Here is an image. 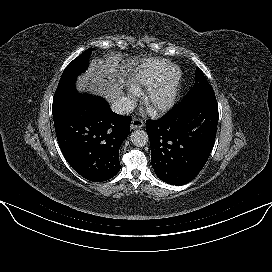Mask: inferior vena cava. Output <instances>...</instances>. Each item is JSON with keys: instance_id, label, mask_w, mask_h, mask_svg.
Masks as SVG:
<instances>
[{"instance_id": "obj_1", "label": "inferior vena cava", "mask_w": 272, "mask_h": 272, "mask_svg": "<svg viewBox=\"0 0 272 272\" xmlns=\"http://www.w3.org/2000/svg\"><path fill=\"white\" fill-rule=\"evenodd\" d=\"M134 107L135 102L129 97H121L115 100L111 105L112 111L121 115L129 114L131 111H133Z\"/></svg>"}]
</instances>
